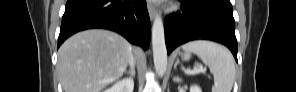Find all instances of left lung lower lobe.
Returning <instances> with one entry per match:
<instances>
[{
  "label": "left lung lower lobe",
  "instance_id": "left-lung-lower-lobe-1",
  "mask_svg": "<svg viewBox=\"0 0 296 92\" xmlns=\"http://www.w3.org/2000/svg\"><path fill=\"white\" fill-rule=\"evenodd\" d=\"M181 12L164 21L167 52L191 40L206 39L227 46L237 60L235 21L230 0H180Z\"/></svg>",
  "mask_w": 296,
  "mask_h": 92
}]
</instances>
